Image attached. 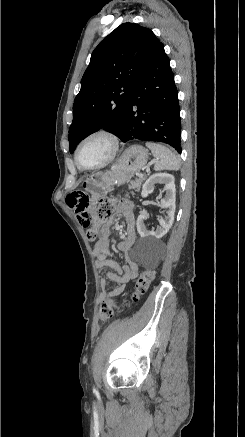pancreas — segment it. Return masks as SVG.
I'll return each instance as SVG.
<instances>
[{
  "mask_svg": "<svg viewBox=\"0 0 245 437\" xmlns=\"http://www.w3.org/2000/svg\"><path fill=\"white\" fill-rule=\"evenodd\" d=\"M145 179H146V177L142 176L140 178H137V179L131 181L129 184V189H134L136 191H139L140 187Z\"/></svg>",
  "mask_w": 245,
  "mask_h": 437,
  "instance_id": "cf45deb5",
  "label": "pancreas"
}]
</instances>
